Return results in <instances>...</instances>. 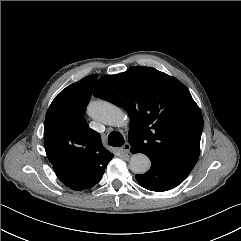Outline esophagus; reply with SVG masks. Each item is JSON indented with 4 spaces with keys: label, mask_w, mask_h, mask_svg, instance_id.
I'll use <instances>...</instances> for the list:
<instances>
[{
    "label": "esophagus",
    "mask_w": 241,
    "mask_h": 241,
    "mask_svg": "<svg viewBox=\"0 0 241 241\" xmlns=\"http://www.w3.org/2000/svg\"><path fill=\"white\" fill-rule=\"evenodd\" d=\"M130 149H131V146L129 143H125L121 148L120 150L123 152V153H129L130 152Z\"/></svg>",
    "instance_id": "obj_1"
}]
</instances>
